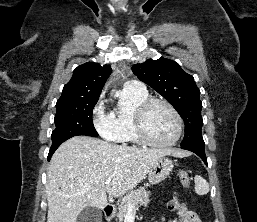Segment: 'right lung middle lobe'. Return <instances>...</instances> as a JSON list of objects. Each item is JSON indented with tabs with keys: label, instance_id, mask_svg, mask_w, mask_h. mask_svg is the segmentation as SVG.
<instances>
[{
	"label": "right lung middle lobe",
	"instance_id": "1",
	"mask_svg": "<svg viewBox=\"0 0 257 222\" xmlns=\"http://www.w3.org/2000/svg\"><path fill=\"white\" fill-rule=\"evenodd\" d=\"M98 98L99 95L57 101L52 146L60 145L73 136H98L92 121V111Z\"/></svg>",
	"mask_w": 257,
	"mask_h": 222
}]
</instances>
